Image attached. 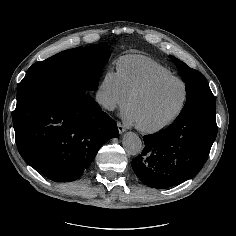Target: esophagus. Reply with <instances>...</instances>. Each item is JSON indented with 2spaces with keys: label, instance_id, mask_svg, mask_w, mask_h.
<instances>
[{
  "label": "esophagus",
  "instance_id": "esophagus-1",
  "mask_svg": "<svg viewBox=\"0 0 236 236\" xmlns=\"http://www.w3.org/2000/svg\"><path fill=\"white\" fill-rule=\"evenodd\" d=\"M117 128L120 134H122L125 131L124 126L119 121L117 122Z\"/></svg>",
  "mask_w": 236,
  "mask_h": 236
}]
</instances>
